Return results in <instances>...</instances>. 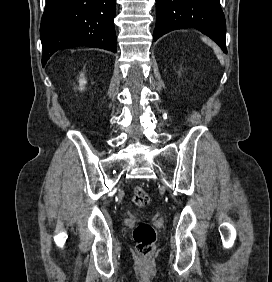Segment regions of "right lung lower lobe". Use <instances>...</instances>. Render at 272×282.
<instances>
[{
  "instance_id": "98d812e1",
  "label": "right lung lower lobe",
  "mask_w": 272,
  "mask_h": 282,
  "mask_svg": "<svg viewBox=\"0 0 272 282\" xmlns=\"http://www.w3.org/2000/svg\"><path fill=\"white\" fill-rule=\"evenodd\" d=\"M115 0H46L42 65L58 50L88 46L116 52Z\"/></svg>"
}]
</instances>
